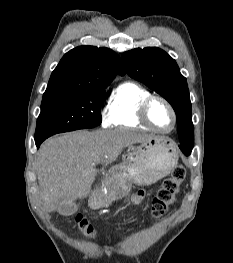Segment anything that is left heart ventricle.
<instances>
[{
	"label": "left heart ventricle",
	"instance_id": "1",
	"mask_svg": "<svg viewBox=\"0 0 233 263\" xmlns=\"http://www.w3.org/2000/svg\"><path fill=\"white\" fill-rule=\"evenodd\" d=\"M149 118L154 126L168 130L172 126V115L161 101H154L149 108Z\"/></svg>",
	"mask_w": 233,
	"mask_h": 263
}]
</instances>
